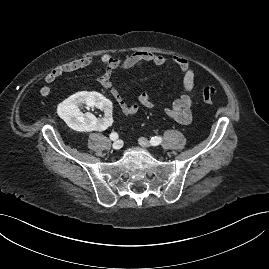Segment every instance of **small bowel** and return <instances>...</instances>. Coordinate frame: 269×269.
Returning <instances> with one entry per match:
<instances>
[{
	"label": "small bowel",
	"mask_w": 269,
	"mask_h": 269,
	"mask_svg": "<svg viewBox=\"0 0 269 269\" xmlns=\"http://www.w3.org/2000/svg\"><path fill=\"white\" fill-rule=\"evenodd\" d=\"M99 61L102 65V72L99 78L101 86L110 91L119 109L127 116L137 114L141 106L154 109L157 105L147 92L140 93L137 102H126L113 82L115 73L118 71H131L145 64L171 66L174 68L182 75L183 92L172 105L164 107L163 111L168 117L179 124L188 125L191 123L193 118L192 109L198 92V86L195 82L196 72L186 58L182 56L168 57L161 54L140 51L125 58H115L110 54L103 53L99 55ZM92 62V57L84 56L56 66L45 75L44 84L40 88V94L43 97L50 96V84L54 83L64 74L89 67Z\"/></svg>",
	"instance_id": "c3829d8e"
}]
</instances>
